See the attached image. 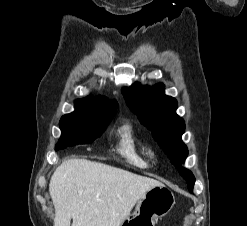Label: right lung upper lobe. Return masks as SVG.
<instances>
[{
  "label": "right lung upper lobe",
  "instance_id": "1",
  "mask_svg": "<svg viewBox=\"0 0 247 226\" xmlns=\"http://www.w3.org/2000/svg\"><path fill=\"white\" fill-rule=\"evenodd\" d=\"M84 99L95 104L97 115L100 117L113 116L118 106L116 101H111L104 96H88Z\"/></svg>",
  "mask_w": 247,
  "mask_h": 226
}]
</instances>
